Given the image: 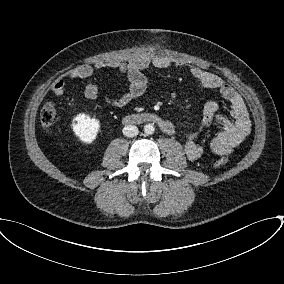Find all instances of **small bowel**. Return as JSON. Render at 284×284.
<instances>
[{
	"label": "small bowel",
	"instance_id": "small-bowel-1",
	"mask_svg": "<svg viewBox=\"0 0 284 284\" xmlns=\"http://www.w3.org/2000/svg\"><path fill=\"white\" fill-rule=\"evenodd\" d=\"M175 65L173 59L161 55L141 54L127 60L97 63L95 66L88 64L79 65L72 69L67 78L69 80L84 79L94 73V68L105 66L116 68L128 81V87L121 96H106V102L115 107H123L131 100L142 96L147 89V78L144 71L153 66L156 68H169ZM191 75L196 78L203 87L217 90L229 106V115L220 113L218 103L207 102L203 109L201 124L196 131L185 134L184 151L189 160H198L204 154L203 147L197 142L200 134L211 124L221 126V131L211 141V150L217 155H229L240 145L251 131L249 112L241 95L219 75L204 69L193 67ZM66 81L56 80L51 89L56 95H62L65 91ZM99 87L90 83L85 87L84 96L88 100H95L99 94Z\"/></svg>",
	"mask_w": 284,
	"mask_h": 284
}]
</instances>
